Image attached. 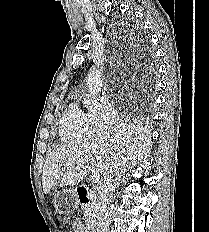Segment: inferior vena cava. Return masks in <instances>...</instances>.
Returning <instances> with one entry per match:
<instances>
[{
	"instance_id": "602c4592",
	"label": "inferior vena cava",
	"mask_w": 209,
	"mask_h": 232,
	"mask_svg": "<svg viewBox=\"0 0 209 232\" xmlns=\"http://www.w3.org/2000/svg\"><path fill=\"white\" fill-rule=\"evenodd\" d=\"M114 174L109 173L100 183L96 232H109L111 199L114 191Z\"/></svg>"
}]
</instances>
